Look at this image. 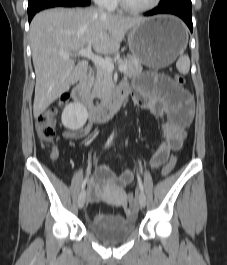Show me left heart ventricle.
I'll list each match as a JSON object with an SVG mask.
<instances>
[{
    "label": "left heart ventricle",
    "instance_id": "obj_1",
    "mask_svg": "<svg viewBox=\"0 0 227 265\" xmlns=\"http://www.w3.org/2000/svg\"><path fill=\"white\" fill-rule=\"evenodd\" d=\"M127 3L136 8H141L150 5L154 0H126Z\"/></svg>",
    "mask_w": 227,
    "mask_h": 265
}]
</instances>
